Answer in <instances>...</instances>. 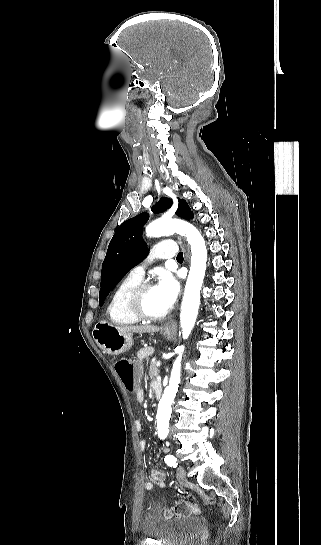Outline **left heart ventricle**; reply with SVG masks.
I'll return each instance as SVG.
<instances>
[{
    "instance_id": "obj_1",
    "label": "left heart ventricle",
    "mask_w": 321,
    "mask_h": 545,
    "mask_svg": "<svg viewBox=\"0 0 321 545\" xmlns=\"http://www.w3.org/2000/svg\"><path fill=\"white\" fill-rule=\"evenodd\" d=\"M140 303L141 308L150 314H162L168 311L153 287L142 295Z\"/></svg>"
}]
</instances>
